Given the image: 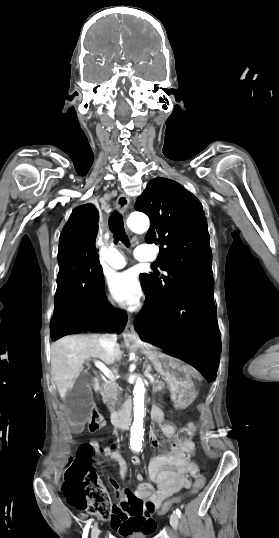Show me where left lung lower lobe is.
Here are the masks:
<instances>
[{"mask_svg": "<svg viewBox=\"0 0 279 538\" xmlns=\"http://www.w3.org/2000/svg\"><path fill=\"white\" fill-rule=\"evenodd\" d=\"M213 294V278L198 281L176 293L159 312H141L134 322L145 341L188 361L209 382L215 380L220 352Z\"/></svg>", "mask_w": 279, "mask_h": 538, "instance_id": "obj_1", "label": "left lung lower lobe"}]
</instances>
